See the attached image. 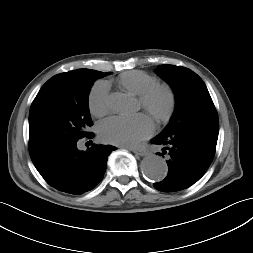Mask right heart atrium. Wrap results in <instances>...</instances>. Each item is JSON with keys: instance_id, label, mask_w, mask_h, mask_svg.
Returning a JSON list of instances; mask_svg holds the SVG:
<instances>
[{"instance_id": "d8ad5b80", "label": "right heart atrium", "mask_w": 253, "mask_h": 253, "mask_svg": "<svg viewBox=\"0 0 253 253\" xmlns=\"http://www.w3.org/2000/svg\"><path fill=\"white\" fill-rule=\"evenodd\" d=\"M109 86L105 81L96 82L88 95V107L95 116H102L108 110Z\"/></svg>"}]
</instances>
